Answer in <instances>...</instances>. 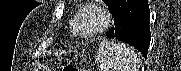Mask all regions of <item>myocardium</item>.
<instances>
[{
	"label": "myocardium",
	"mask_w": 181,
	"mask_h": 71,
	"mask_svg": "<svg viewBox=\"0 0 181 71\" xmlns=\"http://www.w3.org/2000/svg\"><path fill=\"white\" fill-rule=\"evenodd\" d=\"M86 12H94L100 19V23L93 30L84 32L80 29L81 17ZM111 23V15L109 11L98 3L91 2L83 5L77 12L71 24L72 33L80 38H93L108 29Z\"/></svg>",
	"instance_id": "f54148a6"
}]
</instances>
